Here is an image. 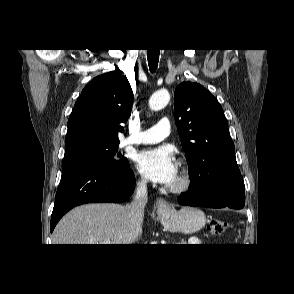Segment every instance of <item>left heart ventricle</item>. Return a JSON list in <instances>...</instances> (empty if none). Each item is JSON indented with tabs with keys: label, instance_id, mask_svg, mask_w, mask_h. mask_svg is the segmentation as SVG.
I'll return each mask as SVG.
<instances>
[{
	"label": "left heart ventricle",
	"instance_id": "b2bd125f",
	"mask_svg": "<svg viewBox=\"0 0 294 294\" xmlns=\"http://www.w3.org/2000/svg\"><path fill=\"white\" fill-rule=\"evenodd\" d=\"M177 182H178V173H177V175L175 176V178L172 180V182L170 183V185L175 184V183H177Z\"/></svg>",
	"mask_w": 294,
	"mask_h": 294
}]
</instances>
